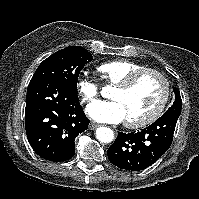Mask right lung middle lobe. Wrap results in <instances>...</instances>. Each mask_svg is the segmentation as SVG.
I'll return each instance as SVG.
<instances>
[{"label":"right lung middle lobe","instance_id":"dd1d6c3e","mask_svg":"<svg viewBox=\"0 0 199 199\" xmlns=\"http://www.w3.org/2000/svg\"><path fill=\"white\" fill-rule=\"evenodd\" d=\"M91 60L92 55L83 47H67L42 61L31 81L55 79L76 93L79 73Z\"/></svg>","mask_w":199,"mask_h":199}]
</instances>
